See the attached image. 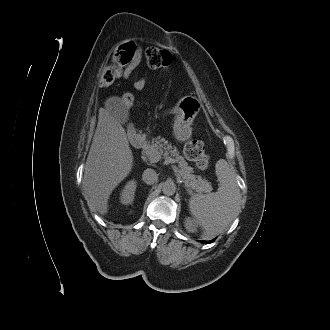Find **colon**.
<instances>
[{
	"instance_id": "obj_1",
	"label": "colon",
	"mask_w": 330,
	"mask_h": 330,
	"mask_svg": "<svg viewBox=\"0 0 330 330\" xmlns=\"http://www.w3.org/2000/svg\"><path fill=\"white\" fill-rule=\"evenodd\" d=\"M136 45L132 42L119 46L113 53L110 63L106 65L100 75L101 84L107 86L114 82L121 69L128 66L135 55ZM146 63L150 69L164 68L170 65L171 54L163 49L151 47L145 52ZM121 102L127 108L134 103V96L125 92L121 96ZM184 153L186 157L194 161L200 170H205L209 165V156L205 151L203 142L191 140L185 143Z\"/></svg>"
}]
</instances>
